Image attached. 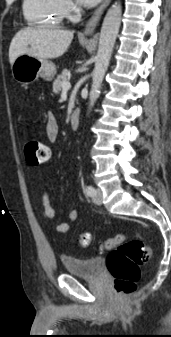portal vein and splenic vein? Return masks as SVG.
I'll use <instances>...</instances> for the list:
<instances>
[{
  "mask_svg": "<svg viewBox=\"0 0 171 337\" xmlns=\"http://www.w3.org/2000/svg\"><path fill=\"white\" fill-rule=\"evenodd\" d=\"M70 88H71V84H70L69 81H65V82L62 84V91H63V92H67Z\"/></svg>",
  "mask_w": 171,
  "mask_h": 337,
  "instance_id": "1",
  "label": "portal vein and splenic vein"
}]
</instances>
